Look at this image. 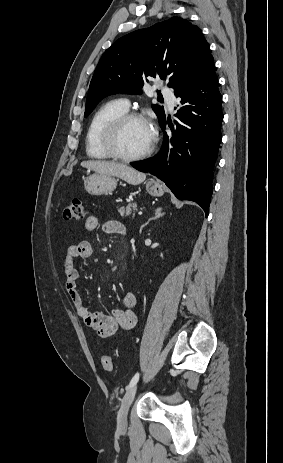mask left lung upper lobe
<instances>
[{"label": "left lung upper lobe", "mask_w": 283, "mask_h": 463, "mask_svg": "<svg viewBox=\"0 0 283 463\" xmlns=\"http://www.w3.org/2000/svg\"><path fill=\"white\" fill-rule=\"evenodd\" d=\"M212 64L200 29L186 19L172 17L134 31L119 38L102 55L89 86L84 116L108 95L141 93L149 77L168 79L175 92ZM152 109L160 123L164 122L163 107L154 104Z\"/></svg>", "instance_id": "5c2ea615"}]
</instances>
